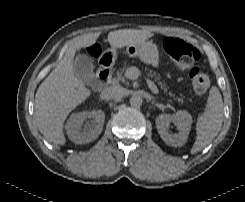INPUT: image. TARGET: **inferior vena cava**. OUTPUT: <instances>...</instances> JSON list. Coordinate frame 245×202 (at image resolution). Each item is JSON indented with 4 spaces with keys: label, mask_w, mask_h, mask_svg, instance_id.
Returning a JSON list of instances; mask_svg holds the SVG:
<instances>
[{
    "label": "inferior vena cava",
    "mask_w": 245,
    "mask_h": 202,
    "mask_svg": "<svg viewBox=\"0 0 245 202\" xmlns=\"http://www.w3.org/2000/svg\"><path fill=\"white\" fill-rule=\"evenodd\" d=\"M125 95V90L121 86H111L103 91L105 99H118Z\"/></svg>",
    "instance_id": "1"
}]
</instances>
